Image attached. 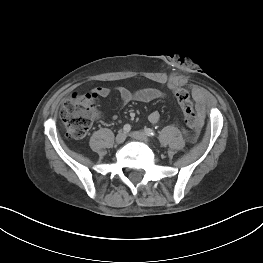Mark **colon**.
Masks as SVG:
<instances>
[{"instance_id": "5ec220e1", "label": "colon", "mask_w": 263, "mask_h": 263, "mask_svg": "<svg viewBox=\"0 0 263 263\" xmlns=\"http://www.w3.org/2000/svg\"><path fill=\"white\" fill-rule=\"evenodd\" d=\"M173 92L182 110L185 124L196 131L200 126V118L193 107L189 92L181 87H175ZM95 114V93L73 94L60 110L67 136L75 139L84 137L91 128Z\"/></svg>"}]
</instances>
